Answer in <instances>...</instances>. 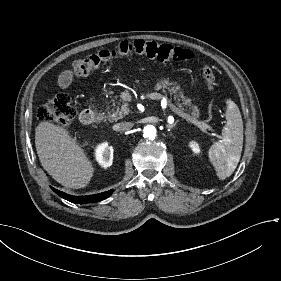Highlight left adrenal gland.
Masks as SVG:
<instances>
[{"instance_id": "a2214340", "label": "left adrenal gland", "mask_w": 281, "mask_h": 281, "mask_svg": "<svg viewBox=\"0 0 281 281\" xmlns=\"http://www.w3.org/2000/svg\"><path fill=\"white\" fill-rule=\"evenodd\" d=\"M177 122H178V121H176V122L173 123V124H168V125H167V128H170V129H171V128L175 127L176 124H177Z\"/></svg>"}]
</instances>
